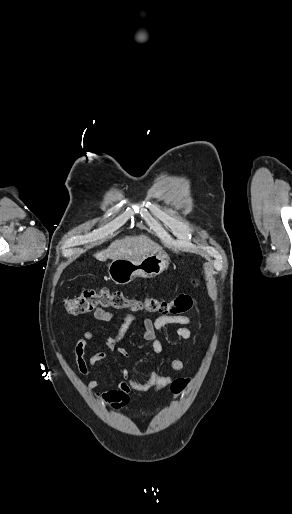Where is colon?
<instances>
[{
    "instance_id": "colon-1",
    "label": "colon",
    "mask_w": 292,
    "mask_h": 514,
    "mask_svg": "<svg viewBox=\"0 0 292 514\" xmlns=\"http://www.w3.org/2000/svg\"><path fill=\"white\" fill-rule=\"evenodd\" d=\"M194 296L191 292L178 295L175 299H156L146 297L139 300L135 297L127 296L122 291H110L108 289L95 290L85 289L81 294L74 297H67L64 305L69 315H81L93 313L98 310L131 309L134 311H146L160 315H182L192 308ZM186 379L189 377L186 376ZM187 380H177L169 387L170 395H177L184 390Z\"/></svg>"
}]
</instances>
